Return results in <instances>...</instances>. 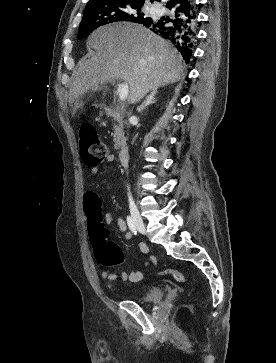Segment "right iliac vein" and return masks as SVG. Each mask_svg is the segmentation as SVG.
<instances>
[{
    "label": "right iliac vein",
    "mask_w": 276,
    "mask_h": 363,
    "mask_svg": "<svg viewBox=\"0 0 276 363\" xmlns=\"http://www.w3.org/2000/svg\"><path fill=\"white\" fill-rule=\"evenodd\" d=\"M130 212H131V216H132V219H133V222L135 224L136 229L140 233L145 234L146 233L145 224H144L143 219L140 216L137 208L135 206H131Z\"/></svg>",
    "instance_id": "1"
}]
</instances>
